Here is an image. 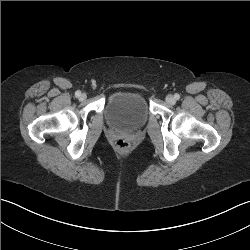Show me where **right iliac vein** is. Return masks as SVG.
Instances as JSON below:
<instances>
[{
  "label": "right iliac vein",
  "mask_w": 250,
  "mask_h": 250,
  "mask_svg": "<svg viewBox=\"0 0 250 250\" xmlns=\"http://www.w3.org/2000/svg\"><path fill=\"white\" fill-rule=\"evenodd\" d=\"M85 99H86V94L85 93L81 94L80 95V100H85Z\"/></svg>",
  "instance_id": "63e3f726"
}]
</instances>
